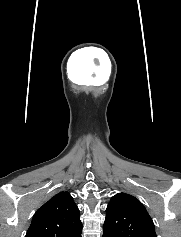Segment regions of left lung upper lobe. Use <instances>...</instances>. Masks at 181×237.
Listing matches in <instances>:
<instances>
[{"mask_svg":"<svg viewBox=\"0 0 181 237\" xmlns=\"http://www.w3.org/2000/svg\"><path fill=\"white\" fill-rule=\"evenodd\" d=\"M103 237H156L154 223L134 196L118 193L106 209Z\"/></svg>","mask_w":181,"mask_h":237,"instance_id":"5c2ea615","label":"left lung upper lobe"}]
</instances>
